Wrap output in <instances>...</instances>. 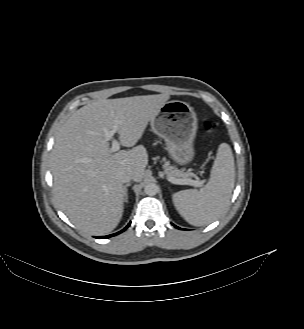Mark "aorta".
<instances>
[{"label": "aorta", "mask_w": 304, "mask_h": 329, "mask_svg": "<svg viewBox=\"0 0 304 329\" xmlns=\"http://www.w3.org/2000/svg\"><path fill=\"white\" fill-rule=\"evenodd\" d=\"M158 186L155 183H148L145 185L144 187V192L145 194H147L148 196H154L157 194L158 192Z\"/></svg>", "instance_id": "762f6f07"}]
</instances>
